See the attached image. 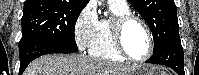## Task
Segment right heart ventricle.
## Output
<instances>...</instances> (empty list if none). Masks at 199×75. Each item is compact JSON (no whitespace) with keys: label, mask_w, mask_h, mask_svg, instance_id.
<instances>
[{"label":"right heart ventricle","mask_w":199,"mask_h":75,"mask_svg":"<svg viewBox=\"0 0 199 75\" xmlns=\"http://www.w3.org/2000/svg\"><path fill=\"white\" fill-rule=\"evenodd\" d=\"M114 13V19L121 15L129 14L128 8L111 7ZM112 20L103 19L99 21V29L97 36L89 48L91 56L108 60L112 62H124L125 58L118 52L115 47L111 34Z\"/></svg>","instance_id":"right-heart-ventricle-1"}]
</instances>
